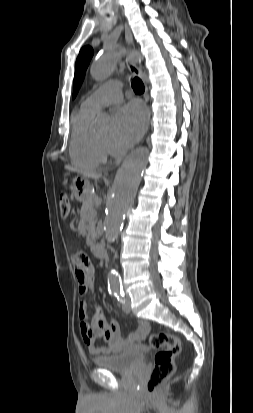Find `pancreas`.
Instances as JSON below:
<instances>
[{"mask_svg":"<svg viewBox=\"0 0 253 413\" xmlns=\"http://www.w3.org/2000/svg\"><path fill=\"white\" fill-rule=\"evenodd\" d=\"M94 200L95 196L94 195H89L82 204V209H81V214L86 218L88 221L87 225V238H86V243L88 246H92L95 242L96 239V232H95V224L97 221L96 218V210L94 209Z\"/></svg>","mask_w":253,"mask_h":413,"instance_id":"1","label":"pancreas"}]
</instances>
